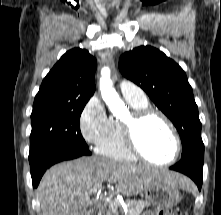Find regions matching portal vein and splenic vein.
Returning <instances> with one entry per match:
<instances>
[{
  "instance_id": "1",
  "label": "portal vein and splenic vein",
  "mask_w": 221,
  "mask_h": 215,
  "mask_svg": "<svg viewBox=\"0 0 221 215\" xmlns=\"http://www.w3.org/2000/svg\"><path fill=\"white\" fill-rule=\"evenodd\" d=\"M100 191H101V189L98 190V192H100ZM93 192H96V190H93ZM113 207H114V206H112V208H113Z\"/></svg>"
}]
</instances>
